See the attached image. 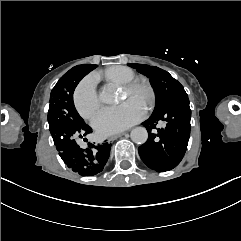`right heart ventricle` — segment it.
Masks as SVG:
<instances>
[{"label": "right heart ventricle", "mask_w": 241, "mask_h": 241, "mask_svg": "<svg viewBox=\"0 0 241 241\" xmlns=\"http://www.w3.org/2000/svg\"><path fill=\"white\" fill-rule=\"evenodd\" d=\"M105 77L109 81L123 85L128 80L134 78V72L128 67L113 65L106 69Z\"/></svg>", "instance_id": "1"}]
</instances>
